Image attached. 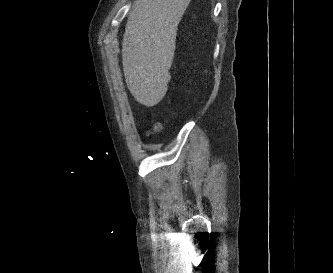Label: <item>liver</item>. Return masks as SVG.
<instances>
[{
  "instance_id": "obj_1",
  "label": "liver",
  "mask_w": 333,
  "mask_h": 273,
  "mask_svg": "<svg viewBox=\"0 0 333 273\" xmlns=\"http://www.w3.org/2000/svg\"><path fill=\"white\" fill-rule=\"evenodd\" d=\"M190 0H140L129 14L122 43L128 89L152 107L167 92L178 24Z\"/></svg>"
}]
</instances>
